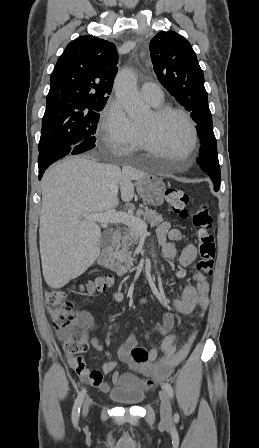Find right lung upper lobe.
Returning a JSON list of instances; mask_svg holds the SVG:
<instances>
[{"label": "right lung upper lobe", "mask_w": 259, "mask_h": 448, "mask_svg": "<svg viewBox=\"0 0 259 448\" xmlns=\"http://www.w3.org/2000/svg\"><path fill=\"white\" fill-rule=\"evenodd\" d=\"M115 45L85 35L70 42L50 78L45 113L84 111L107 102L117 73Z\"/></svg>", "instance_id": "obj_1"}]
</instances>
